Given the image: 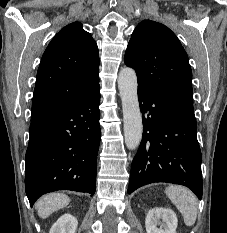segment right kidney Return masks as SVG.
Returning a JSON list of instances; mask_svg holds the SVG:
<instances>
[{
  "instance_id": "1",
  "label": "right kidney",
  "mask_w": 227,
  "mask_h": 233,
  "mask_svg": "<svg viewBox=\"0 0 227 233\" xmlns=\"http://www.w3.org/2000/svg\"><path fill=\"white\" fill-rule=\"evenodd\" d=\"M78 221L71 214L62 215L51 227L49 233H75Z\"/></svg>"
}]
</instances>
